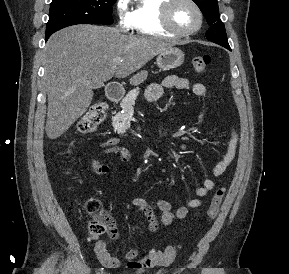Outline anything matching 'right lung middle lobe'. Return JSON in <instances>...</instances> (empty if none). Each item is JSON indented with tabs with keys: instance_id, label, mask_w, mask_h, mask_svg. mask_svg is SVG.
I'll list each match as a JSON object with an SVG mask.
<instances>
[{
	"instance_id": "dd1d6c3e",
	"label": "right lung middle lobe",
	"mask_w": 289,
	"mask_h": 274,
	"mask_svg": "<svg viewBox=\"0 0 289 274\" xmlns=\"http://www.w3.org/2000/svg\"><path fill=\"white\" fill-rule=\"evenodd\" d=\"M116 0H52L46 40L57 30L76 24H112V6Z\"/></svg>"
}]
</instances>
